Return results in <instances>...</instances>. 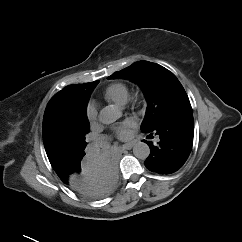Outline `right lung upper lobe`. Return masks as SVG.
Returning <instances> with one entry per match:
<instances>
[{"label":"right lung upper lobe","mask_w":242,"mask_h":242,"mask_svg":"<svg viewBox=\"0 0 242 242\" xmlns=\"http://www.w3.org/2000/svg\"><path fill=\"white\" fill-rule=\"evenodd\" d=\"M97 82L67 86L56 93L47 104L43 118V141L48 159L55 170L75 159L60 156L52 149L53 134L60 125L76 120L84 113Z\"/></svg>","instance_id":"cb5924a9"}]
</instances>
